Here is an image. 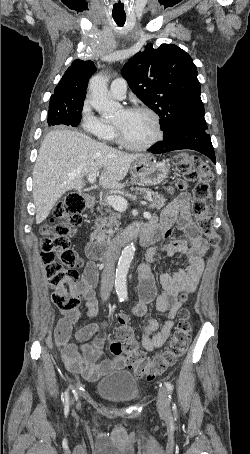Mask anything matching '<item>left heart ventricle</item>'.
<instances>
[{"label": "left heart ventricle", "instance_id": "1", "mask_svg": "<svg viewBox=\"0 0 250 454\" xmlns=\"http://www.w3.org/2000/svg\"><path fill=\"white\" fill-rule=\"evenodd\" d=\"M125 138L134 145H143L155 135V124L152 117L145 112H126L121 110L114 120Z\"/></svg>", "mask_w": 250, "mask_h": 454}]
</instances>
